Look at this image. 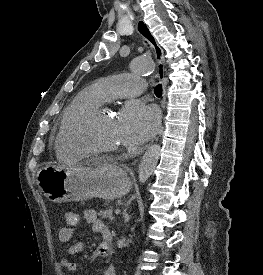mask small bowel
Returning a JSON list of instances; mask_svg holds the SVG:
<instances>
[{
  "label": "small bowel",
  "mask_w": 263,
  "mask_h": 275,
  "mask_svg": "<svg viewBox=\"0 0 263 275\" xmlns=\"http://www.w3.org/2000/svg\"><path fill=\"white\" fill-rule=\"evenodd\" d=\"M83 218L84 221L91 226L92 230L99 233L103 238V241L94 251V257L104 258L109 256L111 254V233L109 228L99 219L97 212L94 209L86 210L83 214ZM73 236V227L69 225L61 228L58 233V238L62 243L70 242ZM84 247V241H79L69 246L59 262L61 268L70 273H75L77 270V264L74 262L73 258L79 254ZM104 275H117L115 267L112 264H109L104 271Z\"/></svg>",
  "instance_id": "c3829d8e"
}]
</instances>
